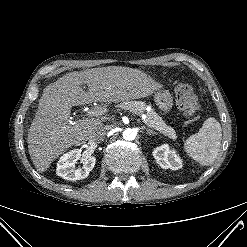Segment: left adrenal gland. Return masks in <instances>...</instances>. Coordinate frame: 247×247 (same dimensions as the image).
<instances>
[{"instance_id": "1", "label": "left adrenal gland", "mask_w": 247, "mask_h": 247, "mask_svg": "<svg viewBox=\"0 0 247 247\" xmlns=\"http://www.w3.org/2000/svg\"><path fill=\"white\" fill-rule=\"evenodd\" d=\"M146 133H147L149 136H150V135H156V134H157L155 131L150 130V129H148Z\"/></svg>"}]
</instances>
